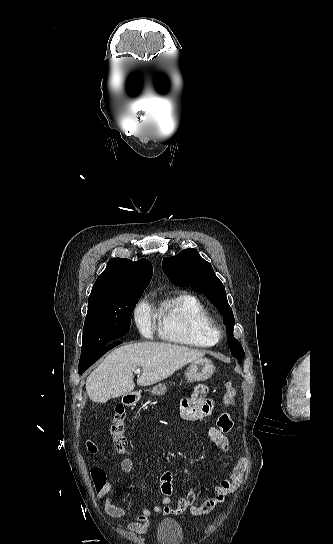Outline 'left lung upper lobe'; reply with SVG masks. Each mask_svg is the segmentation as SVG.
Returning <instances> with one entry per match:
<instances>
[{
  "label": "left lung upper lobe",
  "instance_id": "1",
  "mask_svg": "<svg viewBox=\"0 0 333 544\" xmlns=\"http://www.w3.org/2000/svg\"><path fill=\"white\" fill-rule=\"evenodd\" d=\"M162 265L164 273L172 282L200 290L217 306L224 316L231 353L241 361L244 350L233 336V312L228 304L224 285L216 277L211 264L200 257L196 249L188 248L174 257L164 258Z\"/></svg>",
  "mask_w": 333,
  "mask_h": 544
}]
</instances>
